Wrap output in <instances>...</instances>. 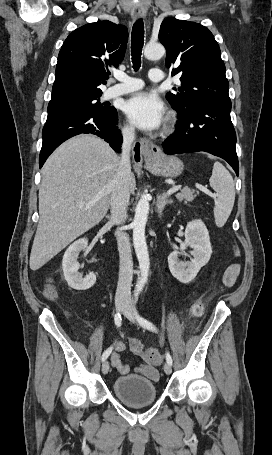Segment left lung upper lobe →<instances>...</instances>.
<instances>
[{
  "mask_svg": "<svg viewBox=\"0 0 272 455\" xmlns=\"http://www.w3.org/2000/svg\"><path fill=\"white\" fill-rule=\"evenodd\" d=\"M159 40L167 50L166 66L181 74L182 87L166 97L182 113L205 100H230L229 83L218 43L208 28L195 22L165 19Z\"/></svg>",
  "mask_w": 272,
  "mask_h": 455,
  "instance_id": "1",
  "label": "left lung upper lobe"
}]
</instances>
